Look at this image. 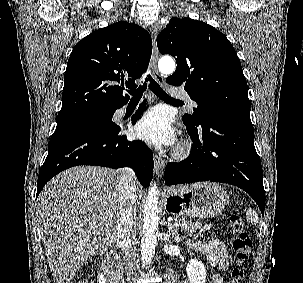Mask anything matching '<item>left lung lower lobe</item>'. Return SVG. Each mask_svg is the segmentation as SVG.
I'll list each match as a JSON object with an SVG mask.
<instances>
[{"label":"left lung lower lobe","instance_id":"0a47b994","mask_svg":"<svg viewBox=\"0 0 303 283\" xmlns=\"http://www.w3.org/2000/svg\"><path fill=\"white\" fill-rule=\"evenodd\" d=\"M193 147L187 159L168 163L166 185L213 181L246 191L264 214L262 167L254 146L250 116L206 113L200 126L186 122Z\"/></svg>","mask_w":303,"mask_h":283}]
</instances>
